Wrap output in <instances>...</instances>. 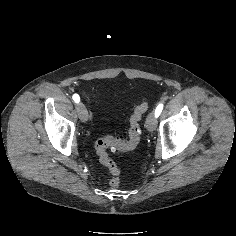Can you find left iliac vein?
Returning <instances> with one entry per match:
<instances>
[{
  "label": "left iliac vein",
  "mask_w": 236,
  "mask_h": 236,
  "mask_svg": "<svg viewBox=\"0 0 236 236\" xmlns=\"http://www.w3.org/2000/svg\"><path fill=\"white\" fill-rule=\"evenodd\" d=\"M157 121L156 116L154 112H151L145 122L146 129L150 132L154 131L156 129Z\"/></svg>",
  "instance_id": "4c4485c4"
}]
</instances>
